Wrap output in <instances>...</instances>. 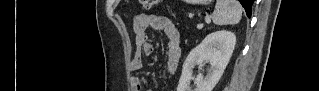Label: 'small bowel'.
<instances>
[{
	"label": "small bowel",
	"instance_id": "c3829d8e",
	"mask_svg": "<svg viewBox=\"0 0 319 91\" xmlns=\"http://www.w3.org/2000/svg\"><path fill=\"white\" fill-rule=\"evenodd\" d=\"M133 28L136 35V52L130 63L132 72L142 67L144 56H151L154 46L149 40L148 29L162 32L167 37L165 68L167 73L174 74L181 56V37L178 29L167 16L140 13L134 17ZM133 91H151L144 77L131 78Z\"/></svg>",
	"mask_w": 319,
	"mask_h": 91
}]
</instances>
